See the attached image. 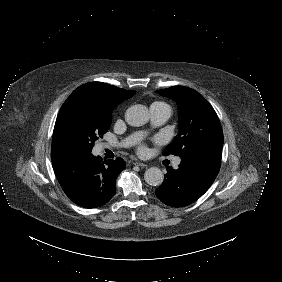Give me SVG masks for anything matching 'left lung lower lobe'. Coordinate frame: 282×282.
Here are the masks:
<instances>
[{
	"mask_svg": "<svg viewBox=\"0 0 282 282\" xmlns=\"http://www.w3.org/2000/svg\"><path fill=\"white\" fill-rule=\"evenodd\" d=\"M222 150L202 148L181 157L179 168L169 167L164 182L155 191L166 205L184 207L201 197L214 182Z\"/></svg>",
	"mask_w": 282,
	"mask_h": 282,
	"instance_id": "left-lung-lower-lobe-1",
	"label": "left lung lower lobe"
}]
</instances>
